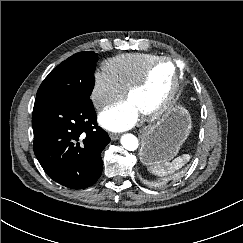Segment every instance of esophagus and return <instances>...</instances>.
<instances>
[{"label":"esophagus","mask_w":243,"mask_h":243,"mask_svg":"<svg viewBox=\"0 0 243 243\" xmlns=\"http://www.w3.org/2000/svg\"><path fill=\"white\" fill-rule=\"evenodd\" d=\"M119 134L116 133H110V138L112 141L118 140L119 139Z\"/></svg>","instance_id":"obj_1"}]
</instances>
